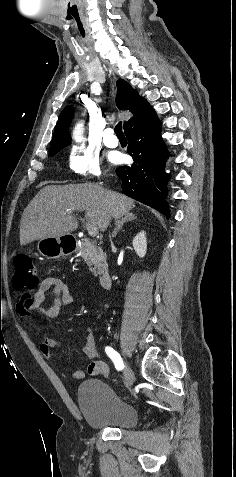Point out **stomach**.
Returning <instances> with one entry per match:
<instances>
[{
	"label": "stomach",
	"instance_id": "stomach-1",
	"mask_svg": "<svg viewBox=\"0 0 236 477\" xmlns=\"http://www.w3.org/2000/svg\"><path fill=\"white\" fill-rule=\"evenodd\" d=\"M62 237L44 238L38 241L37 249L39 253L47 258L56 259L72 250H67L62 243Z\"/></svg>",
	"mask_w": 236,
	"mask_h": 477
}]
</instances>
